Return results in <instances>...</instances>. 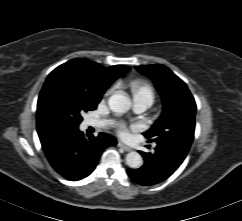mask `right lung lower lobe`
Wrapping results in <instances>:
<instances>
[{"mask_svg":"<svg viewBox=\"0 0 242 221\" xmlns=\"http://www.w3.org/2000/svg\"><path fill=\"white\" fill-rule=\"evenodd\" d=\"M39 137L50 164L60 175L72 181L88 176L103 150L117 143L113 136L105 133L86 139L78 128H56Z\"/></svg>","mask_w":242,"mask_h":221,"instance_id":"obj_1","label":"right lung lower lobe"}]
</instances>
